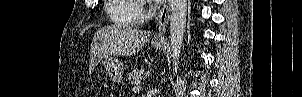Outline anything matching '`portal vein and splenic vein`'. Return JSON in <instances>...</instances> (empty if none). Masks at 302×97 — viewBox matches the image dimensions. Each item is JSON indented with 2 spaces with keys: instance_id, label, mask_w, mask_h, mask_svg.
<instances>
[{
  "instance_id": "obj_1",
  "label": "portal vein and splenic vein",
  "mask_w": 302,
  "mask_h": 97,
  "mask_svg": "<svg viewBox=\"0 0 302 97\" xmlns=\"http://www.w3.org/2000/svg\"><path fill=\"white\" fill-rule=\"evenodd\" d=\"M140 90V88L139 87H135V88H133V91H135V92H137V91H139Z\"/></svg>"
}]
</instances>
